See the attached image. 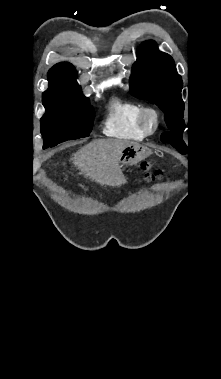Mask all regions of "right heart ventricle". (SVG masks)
Here are the masks:
<instances>
[{"instance_id":"right-heart-ventricle-1","label":"right heart ventricle","mask_w":221,"mask_h":379,"mask_svg":"<svg viewBox=\"0 0 221 379\" xmlns=\"http://www.w3.org/2000/svg\"><path fill=\"white\" fill-rule=\"evenodd\" d=\"M143 107L132 102H113L104 129L111 136L141 140L146 134L140 127L139 116Z\"/></svg>"}]
</instances>
